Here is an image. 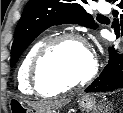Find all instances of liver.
Segmentation results:
<instances>
[{
	"instance_id": "liver-1",
	"label": "liver",
	"mask_w": 123,
	"mask_h": 113,
	"mask_svg": "<svg viewBox=\"0 0 123 113\" xmlns=\"http://www.w3.org/2000/svg\"><path fill=\"white\" fill-rule=\"evenodd\" d=\"M68 99H61L58 101H52V102H47V103H40L37 105V107L40 109L39 111L41 112H46V111H51L52 109L61 107L68 103Z\"/></svg>"
}]
</instances>
